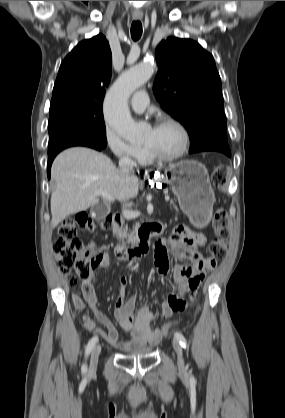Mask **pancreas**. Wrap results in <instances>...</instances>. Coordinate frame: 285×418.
Instances as JSON below:
<instances>
[{
    "label": "pancreas",
    "mask_w": 285,
    "mask_h": 418,
    "mask_svg": "<svg viewBox=\"0 0 285 418\" xmlns=\"http://www.w3.org/2000/svg\"><path fill=\"white\" fill-rule=\"evenodd\" d=\"M174 209L177 211V206L173 204ZM139 228V223H136L134 226V230L129 232L128 228L125 227L122 229V231L120 232L119 236L120 238H122L123 241H126L128 243L131 244H135L137 241V235H136V231Z\"/></svg>",
    "instance_id": "1"
}]
</instances>
